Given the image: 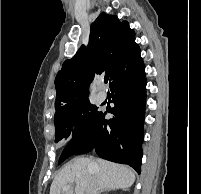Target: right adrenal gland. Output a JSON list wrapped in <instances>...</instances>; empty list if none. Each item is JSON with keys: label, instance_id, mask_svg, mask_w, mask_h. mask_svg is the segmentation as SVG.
<instances>
[{"label": "right adrenal gland", "instance_id": "right-adrenal-gland-1", "mask_svg": "<svg viewBox=\"0 0 201 194\" xmlns=\"http://www.w3.org/2000/svg\"><path fill=\"white\" fill-rule=\"evenodd\" d=\"M110 191H111L110 189H102V190H100V192H99L98 194H101V193L107 194V193H109Z\"/></svg>", "mask_w": 201, "mask_h": 194}]
</instances>
